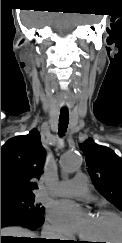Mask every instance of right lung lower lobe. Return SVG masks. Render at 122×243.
<instances>
[{
    "instance_id": "right-lung-lower-lobe-1",
    "label": "right lung lower lobe",
    "mask_w": 122,
    "mask_h": 243,
    "mask_svg": "<svg viewBox=\"0 0 122 243\" xmlns=\"http://www.w3.org/2000/svg\"><path fill=\"white\" fill-rule=\"evenodd\" d=\"M44 222V215H36L29 211L16 208L1 207V228L5 226H23L31 230L41 226ZM21 243H55L42 239H19Z\"/></svg>"
}]
</instances>
